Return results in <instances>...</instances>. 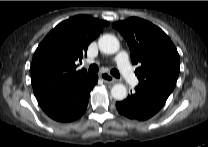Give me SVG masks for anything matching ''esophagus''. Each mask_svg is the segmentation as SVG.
I'll list each match as a JSON object with an SVG mask.
<instances>
[{"label":"esophagus","mask_w":208,"mask_h":147,"mask_svg":"<svg viewBox=\"0 0 208 147\" xmlns=\"http://www.w3.org/2000/svg\"><path fill=\"white\" fill-rule=\"evenodd\" d=\"M99 76L105 83L114 84L117 81L114 77L105 72L101 73Z\"/></svg>","instance_id":"esophagus-1"}]
</instances>
